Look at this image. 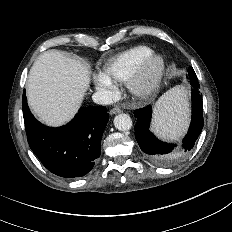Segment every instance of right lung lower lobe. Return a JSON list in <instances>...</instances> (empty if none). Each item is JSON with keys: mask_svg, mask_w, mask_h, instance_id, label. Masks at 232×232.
<instances>
[{"mask_svg": "<svg viewBox=\"0 0 232 232\" xmlns=\"http://www.w3.org/2000/svg\"><path fill=\"white\" fill-rule=\"evenodd\" d=\"M22 110L30 148L50 172L76 178L92 170L100 156L101 138L109 119L105 107L80 108L71 122L58 128L47 127L35 119L25 91Z\"/></svg>", "mask_w": 232, "mask_h": 232, "instance_id": "obj_1", "label": "right lung lower lobe"}]
</instances>
